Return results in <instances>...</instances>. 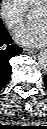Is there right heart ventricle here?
<instances>
[{
  "label": "right heart ventricle",
  "instance_id": "obj_1",
  "mask_svg": "<svg viewBox=\"0 0 47 129\" xmlns=\"http://www.w3.org/2000/svg\"><path fill=\"white\" fill-rule=\"evenodd\" d=\"M26 7V9H33L36 8L40 3L44 0H21Z\"/></svg>",
  "mask_w": 47,
  "mask_h": 129
}]
</instances>
